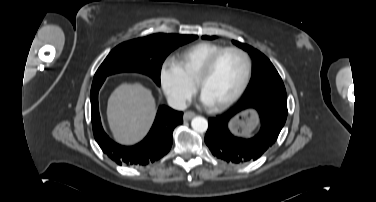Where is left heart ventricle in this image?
<instances>
[{
    "instance_id": "obj_1",
    "label": "left heart ventricle",
    "mask_w": 376,
    "mask_h": 202,
    "mask_svg": "<svg viewBox=\"0 0 376 202\" xmlns=\"http://www.w3.org/2000/svg\"><path fill=\"white\" fill-rule=\"evenodd\" d=\"M245 72L243 58L233 52L224 54L202 85V94L211 105L228 99L239 88Z\"/></svg>"
}]
</instances>
